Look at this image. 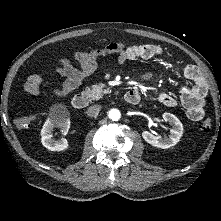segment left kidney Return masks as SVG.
<instances>
[{
	"mask_svg": "<svg viewBox=\"0 0 221 221\" xmlns=\"http://www.w3.org/2000/svg\"><path fill=\"white\" fill-rule=\"evenodd\" d=\"M163 119L166 122H169L173 125V128L170 130L169 138H162L161 136H154L152 133L148 131L142 132L143 139L151 144L152 146H155L157 148L167 149L170 147L175 146L182 134H183V125L180 122V120L172 113H163Z\"/></svg>",
	"mask_w": 221,
	"mask_h": 221,
	"instance_id": "obj_1",
	"label": "left kidney"
}]
</instances>
